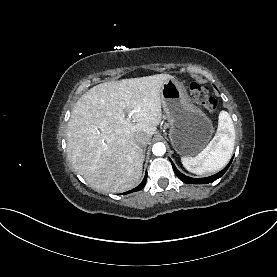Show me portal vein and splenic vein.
<instances>
[{
	"label": "portal vein and splenic vein",
	"mask_w": 277,
	"mask_h": 277,
	"mask_svg": "<svg viewBox=\"0 0 277 277\" xmlns=\"http://www.w3.org/2000/svg\"><path fill=\"white\" fill-rule=\"evenodd\" d=\"M133 112H136V111H133ZM133 112L128 113L129 118L132 116Z\"/></svg>",
	"instance_id": "1"
}]
</instances>
